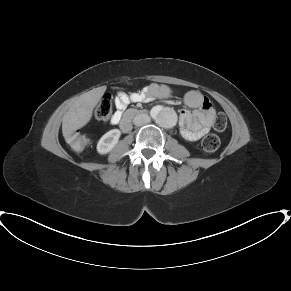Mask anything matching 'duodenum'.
Wrapping results in <instances>:
<instances>
[{"label":"duodenum","mask_w":291,"mask_h":291,"mask_svg":"<svg viewBox=\"0 0 291 291\" xmlns=\"http://www.w3.org/2000/svg\"><path fill=\"white\" fill-rule=\"evenodd\" d=\"M146 114V110L143 109H128L124 112L121 123H120V129L123 132H128L130 130V121L132 118L136 116H141Z\"/></svg>","instance_id":"410a0bca"}]
</instances>
